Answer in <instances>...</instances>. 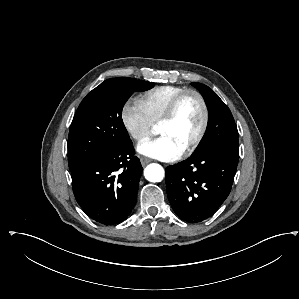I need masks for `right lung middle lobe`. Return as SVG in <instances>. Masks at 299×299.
<instances>
[{"label": "right lung middle lobe", "instance_id": "1", "mask_svg": "<svg viewBox=\"0 0 299 299\" xmlns=\"http://www.w3.org/2000/svg\"><path fill=\"white\" fill-rule=\"evenodd\" d=\"M153 83L132 78H112L93 89L80 103L68 137V164L73 172L87 161L131 143L121 115L134 91Z\"/></svg>", "mask_w": 299, "mask_h": 299}]
</instances>
